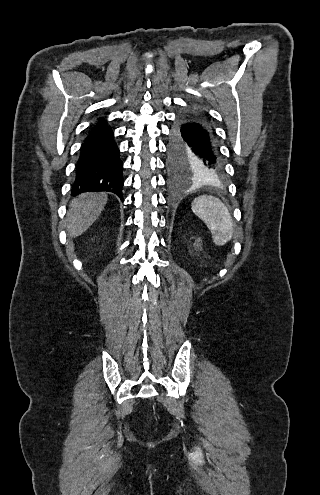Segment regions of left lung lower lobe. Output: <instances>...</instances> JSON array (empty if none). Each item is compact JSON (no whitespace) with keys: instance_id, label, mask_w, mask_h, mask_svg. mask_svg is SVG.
Here are the masks:
<instances>
[{"instance_id":"left-lung-lower-lobe-1","label":"left lung lower lobe","mask_w":320,"mask_h":495,"mask_svg":"<svg viewBox=\"0 0 320 495\" xmlns=\"http://www.w3.org/2000/svg\"><path fill=\"white\" fill-rule=\"evenodd\" d=\"M176 125L183 129L192 148L200 155L208 170L207 175L216 176L223 173L224 162L215 142L214 133L205 118L196 110H190L177 119Z\"/></svg>"}]
</instances>
